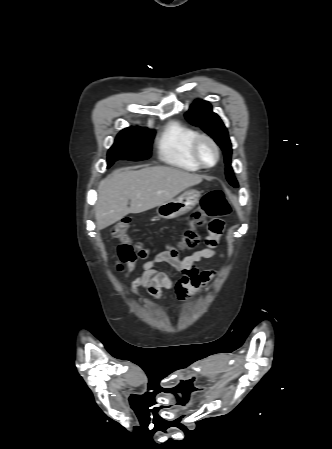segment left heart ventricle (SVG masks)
<instances>
[{
    "label": "left heart ventricle",
    "instance_id": "left-heart-ventricle-1",
    "mask_svg": "<svg viewBox=\"0 0 332 449\" xmlns=\"http://www.w3.org/2000/svg\"><path fill=\"white\" fill-rule=\"evenodd\" d=\"M199 153L203 161L207 164H211L215 159L213 148L206 142L201 143Z\"/></svg>",
    "mask_w": 332,
    "mask_h": 449
}]
</instances>
